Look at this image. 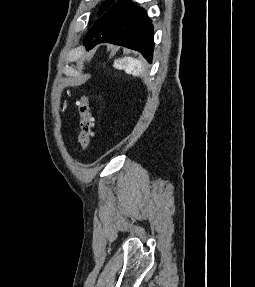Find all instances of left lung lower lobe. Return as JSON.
Returning <instances> with one entry per match:
<instances>
[{
	"label": "left lung lower lobe",
	"instance_id": "1",
	"mask_svg": "<svg viewBox=\"0 0 255 287\" xmlns=\"http://www.w3.org/2000/svg\"><path fill=\"white\" fill-rule=\"evenodd\" d=\"M101 42L137 50L150 62L154 48L153 25L143 8L131 0H118L90 29L84 45L91 49Z\"/></svg>",
	"mask_w": 255,
	"mask_h": 287
}]
</instances>
